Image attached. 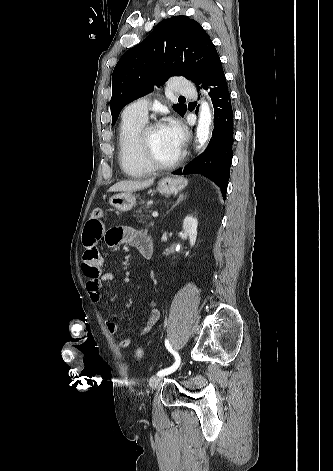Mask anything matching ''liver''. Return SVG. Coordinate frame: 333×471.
Instances as JSON below:
<instances>
[{"label":"liver","instance_id":"obj_1","mask_svg":"<svg viewBox=\"0 0 333 471\" xmlns=\"http://www.w3.org/2000/svg\"><path fill=\"white\" fill-rule=\"evenodd\" d=\"M154 182V179H148L146 181H120L113 185L109 191L111 192H133L138 191L144 188L151 186Z\"/></svg>","mask_w":333,"mask_h":471}]
</instances>
